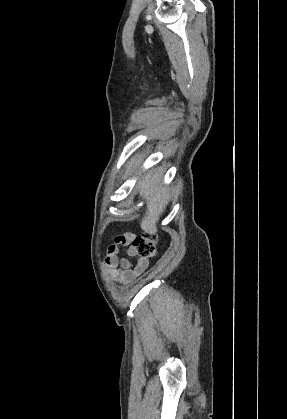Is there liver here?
I'll use <instances>...</instances> for the list:
<instances>
[{"label": "liver", "mask_w": 287, "mask_h": 419, "mask_svg": "<svg viewBox=\"0 0 287 419\" xmlns=\"http://www.w3.org/2000/svg\"><path fill=\"white\" fill-rule=\"evenodd\" d=\"M140 164L141 159L134 162L133 168L129 167L128 172L132 174ZM162 176V172L149 171L141 177L136 186L139 196L146 201V213L140 227L150 235L157 233L156 223L171 199L169 189L162 186Z\"/></svg>", "instance_id": "6515ba94"}]
</instances>
